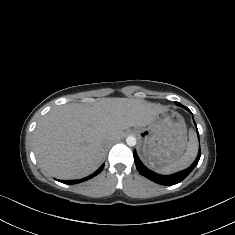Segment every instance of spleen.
Wrapping results in <instances>:
<instances>
[{"label":"spleen","instance_id":"1","mask_svg":"<svg viewBox=\"0 0 235 235\" xmlns=\"http://www.w3.org/2000/svg\"><path fill=\"white\" fill-rule=\"evenodd\" d=\"M197 150L198 143L196 136L193 131H190V140L184 154L177 160H174L162 167L155 168V171L162 174H169L187 168L195 159Z\"/></svg>","mask_w":235,"mask_h":235}]
</instances>
